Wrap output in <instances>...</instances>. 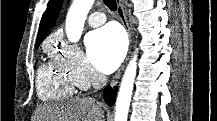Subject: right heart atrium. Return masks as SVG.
I'll use <instances>...</instances> for the list:
<instances>
[{"instance_id":"right-heart-atrium-1","label":"right heart atrium","mask_w":217,"mask_h":121,"mask_svg":"<svg viewBox=\"0 0 217 121\" xmlns=\"http://www.w3.org/2000/svg\"><path fill=\"white\" fill-rule=\"evenodd\" d=\"M47 50L80 89L85 90L100 82V76L90 67L78 47L55 40Z\"/></svg>"}]
</instances>
